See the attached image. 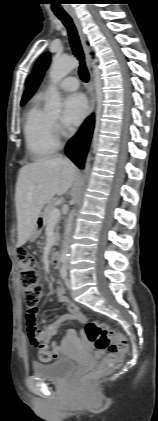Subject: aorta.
<instances>
[{
    "instance_id": "762f6f07",
    "label": "aorta",
    "mask_w": 158,
    "mask_h": 421,
    "mask_svg": "<svg viewBox=\"0 0 158 421\" xmlns=\"http://www.w3.org/2000/svg\"><path fill=\"white\" fill-rule=\"evenodd\" d=\"M79 65L78 61L75 58H55L52 62L50 67V80H51V87H50V100L48 102V108L53 112H60L61 111V98L60 94L57 90V84L72 70L77 68ZM91 156L88 154L86 165H85V172L89 168ZM76 210L73 209L69 214L66 225H65V232H64V240H63V248L61 252V261L66 263L69 259V239L72 230V222L75 216Z\"/></svg>"
}]
</instances>
